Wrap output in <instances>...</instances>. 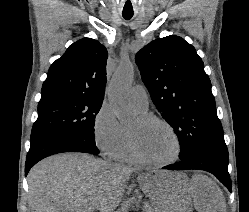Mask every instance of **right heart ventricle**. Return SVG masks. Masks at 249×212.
Returning <instances> with one entry per match:
<instances>
[{"label":"right heart ventricle","instance_id":"e07e8e85","mask_svg":"<svg viewBox=\"0 0 249 212\" xmlns=\"http://www.w3.org/2000/svg\"><path fill=\"white\" fill-rule=\"evenodd\" d=\"M139 111V110H138ZM142 115H145L146 112H141L139 111ZM126 134V133H125ZM120 160L124 161V162H127V163H133L135 160L130 152V149H129V145H128V141H127V144L126 146L124 147L122 153H121V158Z\"/></svg>","mask_w":249,"mask_h":212}]
</instances>
